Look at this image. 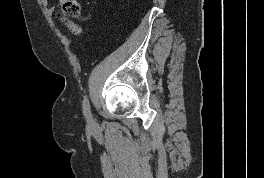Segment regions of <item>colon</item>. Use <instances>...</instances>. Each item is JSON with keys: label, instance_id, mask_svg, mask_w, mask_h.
I'll return each instance as SVG.
<instances>
[{"label": "colon", "instance_id": "1", "mask_svg": "<svg viewBox=\"0 0 264 178\" xmlns=\"http://www.w3.org/2000/svg\"><path fill=\"white\" fill-rule=\"evenodd\" d=\"M63 14L69 17H77L80 14V5L76 0H60Z\"/></svg>", "mask_w": 264, "mask_h": 178}]
</instances>
